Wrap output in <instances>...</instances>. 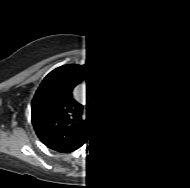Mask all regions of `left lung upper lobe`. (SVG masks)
<instances>
[{
  "label": "left lung upper lobe",
  "instance_id": "1",
  "mask_svg": "<svg viewBox=\"0 0 190 188\" xmlns=\"http://www.w3.org/2000/svg\"><path fill=\"white\" fill-rule=\"evenodd\" d=\"M102 73L116 90L128 124L155 130L164 123L165 95L151 74L133 64L104 67Z\"/></svg>",
  "mask_w": 190,
  "mask_h": 188
}]
</instances>
